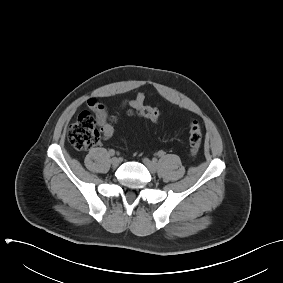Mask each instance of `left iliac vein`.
<instances>
[{
  "instance_id": "obj_1",
  "label": "left iliac vein",
  "mask_w": 283,
  "mask_h": 283,
  "mask_svg": "<svg viewBox=\"0 0 283 283\" xmlns=\"http://www.w3.org/2000/svg\"><path fill=\"white\" fill-rule=\"evenodd\" d=\"M143 163L152 174L157 172L158 166L154 161H151L148 158H144Z\"/></svg>"
}]
</instances>
